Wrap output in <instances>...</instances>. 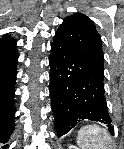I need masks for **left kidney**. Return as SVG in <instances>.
<instances>
[{
	"mask_svg": "<svg viewBox=\"0 0 124 149\" xmlns=\"http://www.w3.org/2000/svg\"><path fill=\"white\" fill-rule=\"evenodd\" d=\"M69 149H77V147L71 145V146H69Z\"/></svg>",
	"mask_w": 124,
	"mask_h": 149,
	"instance_id": "left-kidney-1",
	"label": "left kidney"
}]
</instances>
